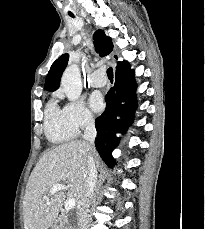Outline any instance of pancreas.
<instances>
[{"label": "pancreas", "instance_id": "cf45deb5", "mask_svg": "<svg viewBox=\"0 0 205 229\" xmlns=\"http://www.w3.org/2000/svg\"><path fill=\"white\" fill-rule=\"evenodd\" d=\"M52 229H71L67 216L65 214H61L52 226Z\"/></svg>", "mask_w": 205, "mask_h": 229}]
</instances>
